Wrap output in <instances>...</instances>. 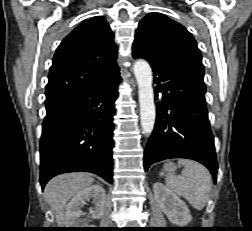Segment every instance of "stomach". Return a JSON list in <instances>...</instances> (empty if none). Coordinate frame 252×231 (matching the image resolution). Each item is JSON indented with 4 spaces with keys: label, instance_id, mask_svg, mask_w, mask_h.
<instances>
[{
    "label": "stomach",
    "instance_id": "1",
    "mask_svg": "<svg viewBox=\"0 0 252 231\" xmlns=\"http://www.w3.org/2000/svg\"><path fill=\"white\" fill-rule=\"evenodd\" d=\"M176 170V165L172 162H168L164 165V172L172 174Z\"/></svg>",
    "mask_w": 252,
    "mask_h": 231
}]
</instances>
